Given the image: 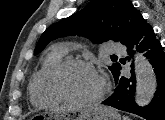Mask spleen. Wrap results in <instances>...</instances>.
I'll use <instances>...</instances> for the list:
<instances>
[{
    "mask_svg": "<svg viewBox=\"0 0 165 120\" xmlns=\"http://www.w3.org/2000/svg\"><path fill=\"white\" fill-rule=\"evenodd\" d=\"M123 120H130L128 117H124Z\"/></svg>",
    "mask_w": 165,
    "mask_h": 120,
    "instance_id": "spleen-1",
    "label": "spleen"
}]
</instances>
